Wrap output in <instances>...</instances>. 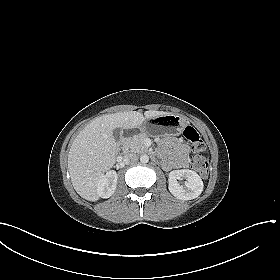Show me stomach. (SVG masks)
<instances>
[{"label": "stomach", "instance_id": "1", "mask_svg": "<svg viewBox=\"0 0 280 280\" xmlns=\"http://www.w3.org/2000/svg\"><path fill=\"white\" fill-rule=\"evenodd\" d=\"M186 125V121L183 117L174 114H168L152 118L151 120L145 121L139 126L142 132H155L161 129L163 132L173 136L179 135Z\"/></svg>", "mask_w": 280, "mask_h": 280}]
</instances>
